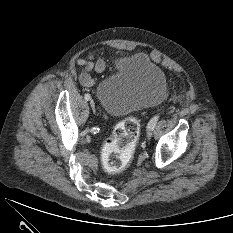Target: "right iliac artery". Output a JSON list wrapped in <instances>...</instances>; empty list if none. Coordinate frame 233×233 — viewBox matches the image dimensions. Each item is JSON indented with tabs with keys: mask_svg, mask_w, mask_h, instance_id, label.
<instances>
[{
	"mask_svg": "<svg viewBox=\"0 0 233 233\" xmlns=\"http://www.w3.org/2000/svg\"><path fill=\"white\" fill-rule=\"evenodd\" d=\"M84 98H85V100H90L91 99V96H90V94H85V96H84Z\"/></svg>",
	"mask_w": 233,
	"mask_h": 233,
	"instance_id": "82829eb1",
	"label": "right iliac artery"
}]
</instances>
